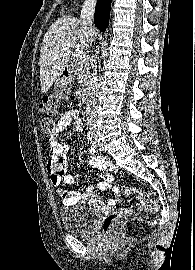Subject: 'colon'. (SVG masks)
<instances>
[{"instance_id": "1", "label": "colon", "mask_w": 195, "mask_h": 270, "mask_svg": "<svg viewBox=\"0 0 195 270\" xmlns=\"http://www.w3.org/2000/svg\"><path fill=\"white\" fill-rule=\"evenodd\" d=\"M63 96L64 94H52L45 96L40 104V110L47 115L40 121V128L46 135H52L55 130L56 125L53 120V116L57 114L61 104L60 101ZM119 190L125 195L135 194L138 197H141V201L136 206V209L140 211L152 213L157 211L159 207L158 202L155 199H149L146 196H143L142 192L138 188L123 185ZM132 212L133 208L123 207L107 215L102 222L103 232L107 234L110 233L121 220L130 216Z\"/></svg>"}]
</instances>
